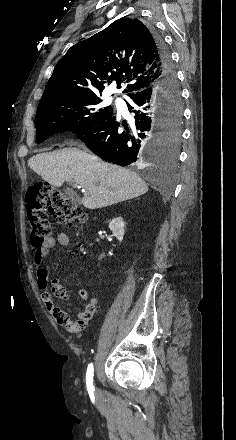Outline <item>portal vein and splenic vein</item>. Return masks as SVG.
<instances>
[{
    "label": "portal vein and splenic vein",
    "mask_w": 236,
    "mask_h": 440,
    "mask_svg": "<svg viewBox=\"0 0 236 440\" xmlns=\"http://www.w3.org/2000/svg\"><path fill=\"white\" fill-rule=\"evenodd\" d=\"M75 186H79V184L76 183ZM84 192H85V191H84Z\"/></svg>",
    "instance_id": "1"
}]
</instances>
